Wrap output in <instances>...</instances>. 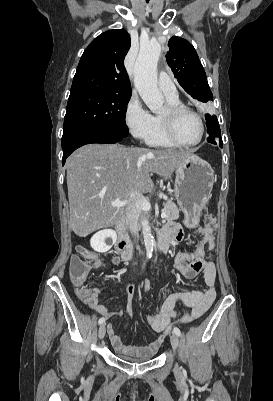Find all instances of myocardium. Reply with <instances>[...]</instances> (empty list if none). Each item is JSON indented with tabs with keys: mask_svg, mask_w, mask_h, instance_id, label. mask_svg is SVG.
Wrapping results in <instances>:
<instances>
[{
	"mask_svg": "<svg viewBox=\"0 0 273 401\" xmlns=\"http://www.w3.org/2000/svg\"><path fill=\"white\" fill-rule=\"evenodd\" d=\"M182 112H187L190 113L192 115H194L200 122L201 125V136L200 138L195 141V142H191V143H187L182 141L176 134L175 132V119L174 117L177 114H180ZM160 119H161V123L162 126L164 128V131L167 135V137L174 143H176L177 145L181 146V147H194L199 145L206 136V124L204 121V118L202 117V115L200 113H198L196 110L182 104V103H178V104H168L167 106V113L165 115H160Z\"/></svg>",
	"mask_w": 273,
	"mask_h": 401,
	"instance_id": "1",
	"label": "myocardium"
}]
</instances>
